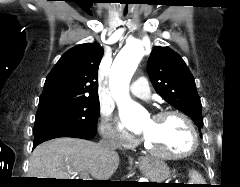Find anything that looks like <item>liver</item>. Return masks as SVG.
Here are the masks:
<instances>
[{"label":"liver","mask_w":240,"mask_h":187,"mask_svg":"<svg viewBox=\"0 0 240 187\" xmlns=\"http://www.w3.org/2000/svg\"><path fill=\"white\" fill-rule=\"evenodd\" d=\"M119 165V155L108 154L94 142L56 138L37 146L30 158L29 178L74 179L89 173L95 180H108Z\"/></svg>","instance_id":"liver-1"}]
</instances>
